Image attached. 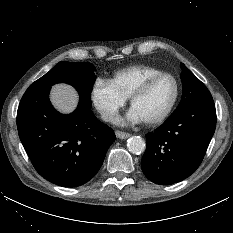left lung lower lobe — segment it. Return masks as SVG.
<instances>
[{
  "label": "left lung lower lobe",
  "mask_w": 233,
  "mask_h": 233,
  "mask_svg": "<svg viewBox=\"0 0 233 233\" xmlns=\"http://www.w3.org/2000/svg\"><path fill=\"white\" fill-rule=\"evenodd\" d=\"M216 127L213 99L172 114L154 132L146 134L141 161L145 176L160 185L189 177L201 164Z\"/></svg>",
  "instance_id": "1"
}]
</instances>
